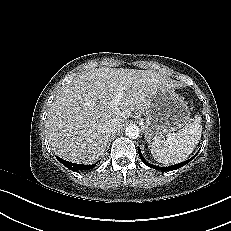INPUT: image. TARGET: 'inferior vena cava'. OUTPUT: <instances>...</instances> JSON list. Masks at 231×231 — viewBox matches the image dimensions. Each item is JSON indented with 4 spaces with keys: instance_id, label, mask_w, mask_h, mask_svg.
I'll return each mask as SVG.
<instances>
[{
    "instance_id": "obj_1",
    "label": "inferior vena cava",
    "mask_w": 231,
    "mask_h": 231,
    "mask_svg": "<svg viewBox=\"0 0 231 231\" xmlns=\"http://www.w3.org/2000/svg\"><path fill=\"white\" fill-rule=\"evenodd\" d=\"M121 129V126L118 123H111L106 126V131L111 135L117 133Z\"/></svg>"
}]
</instances>
